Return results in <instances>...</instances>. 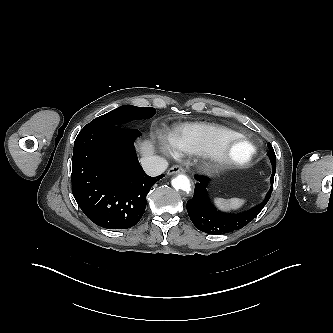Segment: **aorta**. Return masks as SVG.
<instances>
[{
    "label": "aorta",
    "mask_w": 333,
    "mask_h": 333,
    "mask_svg": "<svg viewBox=\"0 0 333 333\" xmlns=\"http://www.w3.org/2000/svg\"><path fill=\"white\" fill-rule=\"evenodd\" d=\"M171 184L177 191L182 190L187 193L191 191L190 180L186 175H177L172 179Z\"/></svg>",
    "instance_id": "762f6f07"
}]
</instances>
